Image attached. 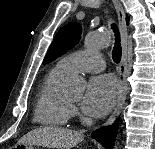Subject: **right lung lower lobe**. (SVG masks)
<instances>
[{"label": "right lung lower lobe", "mask_w": 155, "mask_h": 149, "mask_svg": "<svg viewBox=\"0 0 155 149\" xmlns=\"http://www.w3.org/2000/svg\"><path fill=\"white\" fill-rule=\"evenodd\" d=\"M118 128L117 120L112 126L102 127L92 133V138L100 142L105 148L111 149L116 138Z\"/></svg>", "instance_id": "1"}]
</instances>
